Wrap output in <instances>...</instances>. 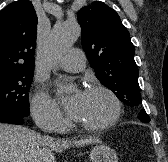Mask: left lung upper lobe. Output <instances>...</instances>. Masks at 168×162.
<instances>
[{"label": "left lung upper lobe", "mask_w": 168, "mask_h": 162, "mask_svg": "<svg viewBox=\"0 0 168 162\" xmlns=\"http://www.w3.org/2000/svg\"><path fill=\"white\" fill-rule=\"evenodd\" d=\"M82 28V46L100 82L130 107L142 103L135 48L119 15L101 1L80 9L77 13ZM147 118L145 110L139 119Z\"/></svg>", "instance_id": "1"}]
</instances>
